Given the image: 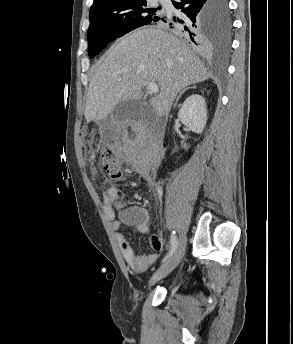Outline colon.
<instances>
[{"label":"colon","instance_id":"colon-1","mask_svg":"<svg viewBox=\"0 0 293 344\" xmlns=\"http://www.w3.org/2000/svg\"><path fill=\"white\" fill-rule=\"evenodd\" d=\"M102 169L110 177L121 179L125 176V170L120 159L115 154L111 145H105L100 152ZM120 208V218L123 222L134 224L140 229L147 231L146 214L140 208H125L120 201H116Z\"/></svg>","mask_w":293,"mask_h":344}]
</instances>
